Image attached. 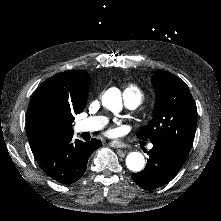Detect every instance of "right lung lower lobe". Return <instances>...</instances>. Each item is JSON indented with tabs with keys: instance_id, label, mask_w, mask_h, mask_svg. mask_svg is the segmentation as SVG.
Wrapping results in <instances>:
<instances>
[{
	"instance_id": "right-lung-lower-lobe-1",
	"label": "right lung lower lobe",
	"mask_w": 221,
	"mask_h": 221,
	"mask_svg": "<svg viewBox=\"0 0 221 221\" xmlns=\"http://www.w3.org/2000/svg\"><path fill=\"white\" fill-rule=\"evenodd\" d=\"M72 137L73 134L34 153L43 171L63 184L79 180L86 171L90 155L102 145L95 138L85 143L78 139L71 142Z\"/></svg>"
}]
</instances>
